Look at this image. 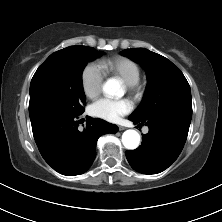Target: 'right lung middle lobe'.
Returning a JSON list of instances; mask_svg holds the SVG:
<instances>
[{"label": "right lung middle lobe", "mask_w": 222, "mask_h": 222, "mask_svg": "<svg viewBox=\"0 0 222 222\" xmlns=\"http://www.w3.org/2000/svg\"><path fill=\"white\" fill-rule=\"evenodd\" d=\"M102 54L87 46H70L51 54L31 80L30 120L53 113L82 114L85 101L82 71L88 61Z\"/></svg>", "instance_id": "right-lung-middle-lobe-1"}]
</instances>
